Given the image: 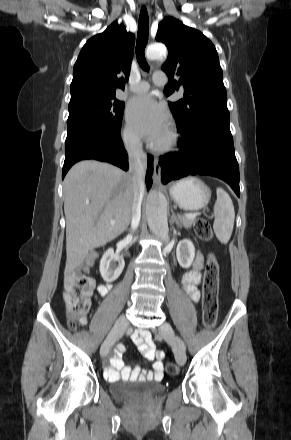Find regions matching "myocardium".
<instances>
[{
  "label": "myocardium",
  "mask_w": 291,
  "mask_h": 440,
  "mask_svg": "<svg viewBox=\"0 0 291 440\" xmlns=\"http://www.w3.org/2000/svg\"><path fill=\"white\" fill-rule=\"evenodd\" d=\"M178 143V134L175 130L170 129L167 132V136L154 144H152V148L156 151L166 152L171 151Z\"/></svg>",
  "instance_id": "obj_1"
}]
</instances>
